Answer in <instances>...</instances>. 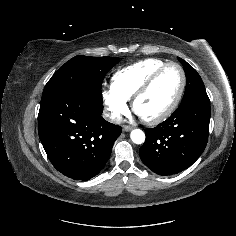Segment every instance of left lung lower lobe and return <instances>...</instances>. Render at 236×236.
<instances>
[{
	"label": "left lung lower lobe",
	"instance_id": "0a47b994",
	"mask_svg": "<svg viewBox=\"0 0 236 236\" xmlns=\"http://www.w3.org/2000/svg\"><path fill=\"white\" fill-rule=\"evenodd\" d=\"M208 96L191 99L157 127L145 129L139 149L143 163L156 174L167 176L191 166L203 153L209 133Z\"/></svg>",
	"mask_w": 236,
	"mask_h": 236
}]
</instances>
